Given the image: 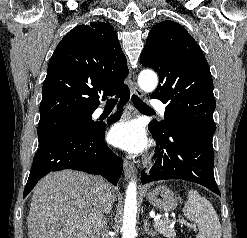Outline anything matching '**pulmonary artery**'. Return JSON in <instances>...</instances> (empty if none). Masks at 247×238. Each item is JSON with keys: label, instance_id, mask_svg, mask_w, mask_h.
Returning a JSON list of instances; mask_svg holds the SVG:
<instances>
[{"label": "pulmonary artery", "instance_id": "pulmonary-artery-1", "mask_svg": "<svg viewBox=\"0 0 247 238\" xmlns=\"http://www.w3.org/2000/svg\"><path fill=\"white\" fill-rule=\"evenodd\" d=\"M151 106H152L153 108H155L161 115H164L165 112H166V107H165V105H164L161 101H159V100H152V101H151ZM102 112H103V109H102V108H99V109L96 111V114H97V115H100V114H102Z\"/></svg>", "mask_w": 247, "mask_h": 238}]
</instances>
